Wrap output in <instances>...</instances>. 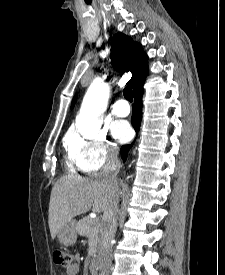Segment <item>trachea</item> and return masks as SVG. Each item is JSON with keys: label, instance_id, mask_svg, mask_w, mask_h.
Here are the masks:
<instances>
[{"label": "trachea", "instance_id": "trachea-1", "mask_svg": "<svg viewBox=\"0 0 225 275\" xmlns=\"http://www.w3.org/2000/svg\"><path fill=\"white\" fill-rule=\"evenodd\" d=\"M123 95L124 97L132 102L133 101V96H132V88L131 86H126L124 89H123Z\"/></svg>", "mask_w": 225, "mask_h": 275}]
</instances>
